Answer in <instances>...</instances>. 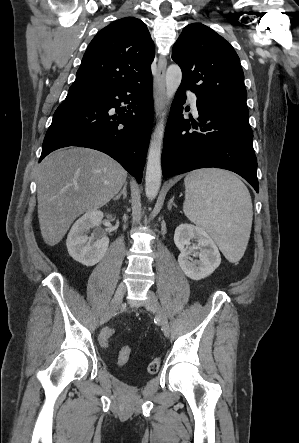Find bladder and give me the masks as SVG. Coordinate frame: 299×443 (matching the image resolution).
Masks as SVG:
<instances>
[{
	"mask_svg": "<svg viewBox=\"0 0 299 443\" xmlns=\"http://www.w3.org/2000/svg\"><path fill=\"white\" fill-rule=\"evenodd\" d=\"M123 376L128 380H136L138 378V375L133 372H125Z\"/></svg>",
	"mask_w": 299,
	"mask_h": 443,
	"instance_id": "1",
	"label": "bladder"
}]
</instances>
